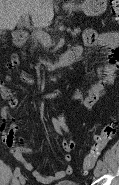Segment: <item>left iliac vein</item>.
I'll return each instance as SVG.
<instances>
[{
	"label": "left iliac vein",
	"instance_id": "4c4485c4",
	"mask_svg": "<svg viewBox=\"0 0 119 185\" xmlns=\"http://www.w3.org/2000/svg\"><path fill=\"white\" fill-rule=\"evenodd\" d=\"M101 175V167L100 166H96L95 169H94V176L96 178H98L99 176Z\"/></svg>",
	"mask_w": 119,
	"mask_h": 185
}]
</instances>
